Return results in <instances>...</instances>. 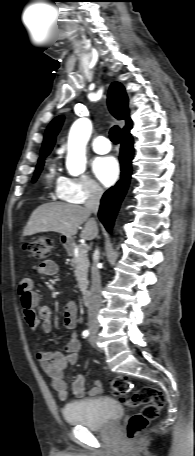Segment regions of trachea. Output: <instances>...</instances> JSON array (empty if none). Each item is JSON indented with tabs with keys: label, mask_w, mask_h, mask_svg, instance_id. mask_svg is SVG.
Returning a JSON list of instances; mask_svg holds the SVG:
<instances>
[{
	"label": "trachea",
	"mask_w": 195,
	"mask_h": 456,
	"mask_svg": "<svg viewBox=\"0 0 195 456\" xmlns=\"http://www.w3.org/2000/svg\"><path fill=\"white\" fill-rule=\"evenodd\" d=\"M109 134H110L111 141L115 144H118V142L120 141V138H121L120 128L117 125L113 126L111 128Z\"/></svg>",
	"instance_id": "trachea-1"
}]
</instances>
